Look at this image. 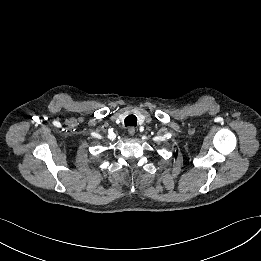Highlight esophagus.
Instances as JSON below:
<instances>
[{"mask_svg":"<svg viewBox=\"0 0 261 261\" xmlns=\"http://www.w3.org/2000/svg\"><path fill=\"white\" fill-rule=\"evenodd\" d=\"M135 132H136L135 127L130 126V127L128 128V133H129L130 136H134V135H135Z\"/></svg>","mask_w":261,"mask_h":261,"instance_id":"34e87169","label":"esophagus"}]
</instances>
